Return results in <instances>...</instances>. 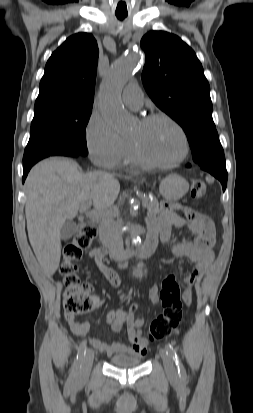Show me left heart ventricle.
<instances>
[{
	"mask_svg": "<svg viewBox=\"0 0 253 413\" xmlns=\"http://www.w3.org/2000/svg\"><path fill=\"white\" fill-rule=\"evenodd\" d=\"M151 160L168 163L179 157L182 140L176 129L164 120L149 124L138 123L130 136Z\"/></svg>",
	"mask_w": 253,
	"mask_h": 413,
	"instance_id": "obj_1",
	"label": "left heart ventricle"
}]
</instances>
